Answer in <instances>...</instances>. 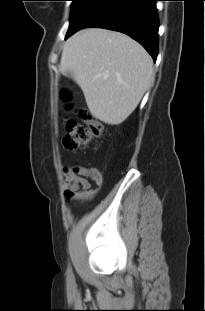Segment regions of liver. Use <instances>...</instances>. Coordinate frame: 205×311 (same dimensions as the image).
<instances>
[{"mask_svg":"<svg viewBox=\"0 0 205 311\" xmlns=\"http://www.w3.org/2000/svg\"><path fill=\"white\" fill-rule=\"evenodd\" d=\"M152 65L147 51L129 36L88 28L65 42L59 70L73 73L93 117L118 125L151 86Z\"/></svg>","mask_w":205,"mask_h":311,"instance_id":"1","label":"liver"}]
</instances>
